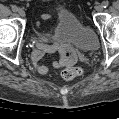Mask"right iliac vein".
I'll list each match as a JSON object with an SVG mask.
<instances>
[{
	"instance_id": "right-iliac-vein-1",
	"label": "right iliac vein",
	"mask_w": 119,
	"mask_h": 119,
	"mask_svg": "<svg viewBox=\"0 0 119 119\" xmlns=\"http://www.w3.org/2000/svg\"><path fill=\"white\" fill-rule=\"evenodd\" d=\"M18 14L21 16V17H24L25 16V11L21 8L18 9Z\"/></svg>"
}]
</instances>
